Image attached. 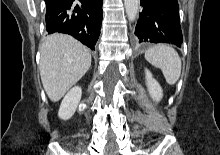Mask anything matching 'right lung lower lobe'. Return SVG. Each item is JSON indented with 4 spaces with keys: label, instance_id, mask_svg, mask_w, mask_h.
I'll use <instances>...</instances> for the list:
<instances>
[{
    "label": "right lung lower lobe",
    "instance_id": "right-lung-lower-lobe-1",
    "mask_svg": "<svg viewBox=\"0 0 220 155\" xmlns=\"http://www.w3.org/2000/svg\"><path fill=\"white\" fill-rule=\"evenodd\" d=\"M45 0L46 30L72 35L94 50L103 18L102 0Z\"/></svg>",
    "mask_w": 220,
    "mask_h": 155
}]
</instances>
